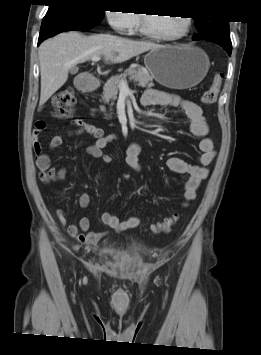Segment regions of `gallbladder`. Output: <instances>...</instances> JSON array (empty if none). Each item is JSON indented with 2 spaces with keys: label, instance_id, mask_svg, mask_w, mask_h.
Returning a JSON list of instances; mask_svg holds the SVG:
<instances>
[{
  "label": "gallbladder",
  "instance_id": "obj_1",
  "mask_svg": "<svg viewBox=\"0 0 261 355\" xmlns=\"http://www.w3.org/2000/svg\"><path fill=\"white\" fill-rule=\"evenodd\" d=\"M71 73H77L78 72V67H73L70 69Z\"/></svg>",
  "mask_w": 261,
  "mask_h": 355
}]
</instances>
